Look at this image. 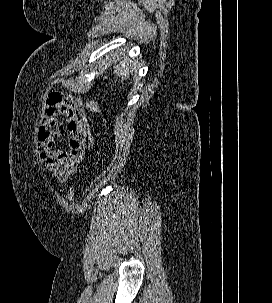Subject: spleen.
<instances>
[{"label":"spleen","instance_id":"spleen-1","mask_svg":"<svg viewBox=\"0 0 272 303\" xmlns=\"http://www.w3.org/2000/svg\"><path fill=\"white\" fill-rule=\"evenodd\" d=\"M135 70H137V68H135ZM114 72L117 76L126 80L134 72L131 61H124L123 63L117 65Z\"/></svg>","mask_w":272,"mask_h":303}]
</instances>
